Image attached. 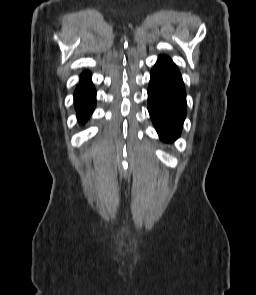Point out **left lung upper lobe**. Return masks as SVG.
Here are the masks:
<instances>
[{"label": "left lung upper lobe", "instance_id": "obj_1", "mask_svg": "<svg viewBox=\"0 0 256 295\" xmlns=\"http://www.w3.org/2000/svg\"><path fill=\"white\" fill-rule=\"evenodd\" d=\"M160 60H166V61H169V62H172L169 58H167L166 56H161L160 57Z\"/></svg>", "mask_w": 256, "mask_h": 295}]
</instances>
